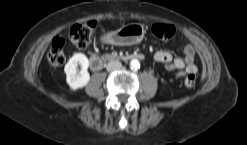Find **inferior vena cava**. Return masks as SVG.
Returning <instances> with one entry per match:
<instances>
[{
	"label": "inferior vena cava",
	"instance_id": "obj_1",
	"mask_svg": "<svg viewBox=\"0 0 247 145\" xmlns=\"http://www.w3.org/2000/svg\"><path fill=\"white\" fill-rule=\"evenodd\" d=\"M122 68V64L120 61L114 60V61H109L106 65L107 71H116Z\"/></svg>",
	"mask_w": 247,
	"mask_h": 145
}]
</instances>
